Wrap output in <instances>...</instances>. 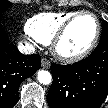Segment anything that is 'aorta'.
<instances>
[{
  "label": "aorta",
  "instance_id": "1",
  "mask_svg": "<svg viewBox=\"0 0 108 108\" xmlns=\"http://www.w3.org/2000/svg\"><path fill=\"white\" fill-rule=\"evenodd\" d=\"M37 79L41 84L48 85L52 82V76L50 72L46 70H39L37 73Z\"/></svg>",
  "mask_w": 108,
  "mask_h": 108
}]
</instances>
